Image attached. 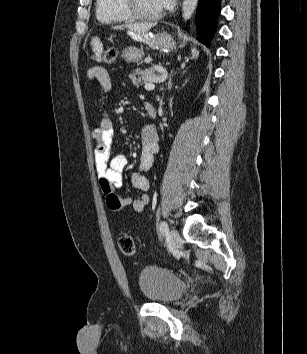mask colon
<instances>
[{
  "mask_svg": "<svg viewBox=\"0 0 307 354\" xmlns=\"http://www.w3.org/2000/svg\"><path fill=\"white\" fill-rule=\"evenodd\" d=\"M117 57V51L114 48H109L103 51L101 59L106 64H112ZM118 246L121 253L129 258L136 256L137 250L133 238L128 233H123L118 239Z\"/></svg>",
  "mask_w": 307,
  "mask_h": 354,
  "instance_id": "obj_1",
  "label": "colon"
}]
</instances>
